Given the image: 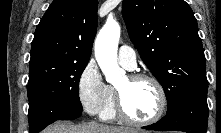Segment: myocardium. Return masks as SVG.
Segmentation results:
<instances>
[{
    "instance_id": "f54148a6",
    "label": "myocardium",
    "mask_w": 221,
    "mask_h": 133,
    "mask_svg": "<svg viewBox=\"0 0 221 133\" xmlns=\"http://www.w3.org/2000/svg\"><path fill=\"white\" fill-rule=\"evenodd\" d=\"M129 81L136 82L139 80H148L152 82L157 90L158 97H159V106L156 113L149 119L146 120H138L131 117L128 112L126 111L124 105L123 94L120 89H115V106H116V113L119 119L122 121L134 125V126H149L156 122H158L162 116L164 115L166 108H167V96L165 89L158 78L151 74L147 73H133L127 76Z\"/></svg>"
}]
</instances>
